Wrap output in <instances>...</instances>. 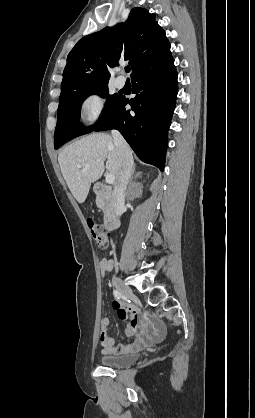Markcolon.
<instances>
[{
  "label": "colon",
  "mask_w": 255,
  "mask_h": 418,
  "mask_svg": "<svg viewBox=\"0 0 255 418\" xmlns=\"http://www.w3.org/2000/svg\"><path fill=\"white\" fill-rule=\"evenodd\" d=\"M87 224L96 244L100 248H106L108 246V234L92 218L87 219Z\"/></svg>",
  "instance_id": "1"
}]
</instances>
